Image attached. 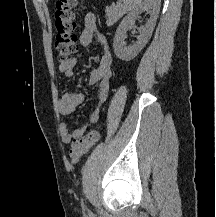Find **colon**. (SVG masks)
<instances>
[{
  "instance_id": "obj_1",
  "label": "colon",
  "mask_w": 216,
  "mask_h": 217,
  "mask_svg": "<svg viewBox=\"0 0 216 217\" xmlns=\"http://www.w3.org/2000/svg\"><path fill=\"white\" fill-rule=\"evenodd\" d=\"M77 2L78 0H57L55 4V26L57 29L55 51L60 62L69 61L76 51L77 35L73 8ZM98 140L99 132L91 130L73 141L69 151V160L73 164L78 163Z\"/></svg>"
}]
</instances>
